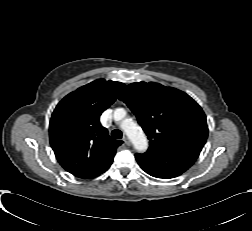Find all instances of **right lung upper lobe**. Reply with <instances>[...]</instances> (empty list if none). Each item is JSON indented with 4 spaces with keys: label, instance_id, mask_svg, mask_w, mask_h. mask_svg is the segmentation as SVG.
<instances>
[{
    "label": "right lung upper lobe",
    "instance_id": "cb5924a9",
    "mask_svg": "<svg viewBox=\"0 0 252 231\" xmlns=\"http://www.w3.org/2000/svg\"><path fill=\"white\" fill-rule=\"evenodd\" d=\"M123 87L121 82L98 79L56 106L49 126L50 144L60 165L76 177L94 178L112 164L122 141L110 138L99 118Z\"/></svg>",
    "mask_w": 252,
    "mask_h": 231
}]
</instances>
